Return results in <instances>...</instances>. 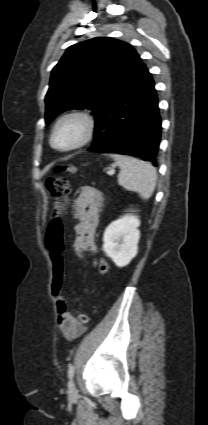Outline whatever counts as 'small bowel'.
Returning a JSON list of instances; mask_svg holds the SVG:
<instances>
[{"label": "small bowel", "instance_id": "1", "mask_svg": "<svg viewBox=\"0 0 208 425\" xmlns=\"http://www.w3.org/2000/svg\"><path fill=\"white\" fill-rule=\"evenodd\" d=\"M101 194L90 186L81 187L75 195L74 216L78 219L75 227L74 247L83 253L96 254L94 233L98 223ZM93 267L99 271V260H93ZM58 325L68 340L79 337L85 330L69 312L63 295L56 297Z\"/></svg>", "mask_w": 208, "mask_h": 425}]
</instances>
